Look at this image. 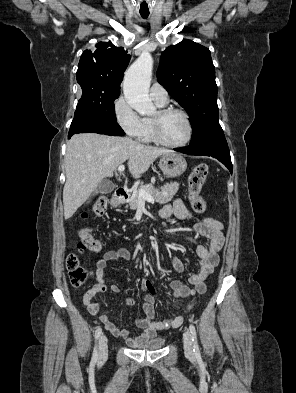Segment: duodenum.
I'll return each mask as SVG.
<instances>
[{
  "label": "duodenum",
  "instance_id": "410a0bca",
  "mask_svg": "<svg viewBox=\"0 0 296 393\" xmlns=\"http://www.w3.org/2000/svg\"><path fill=\"white\" fill-rule=\"evenodd\" d=\"M128 198V192L122 188L119 187L116 189L114 196H113V201L115 204H118L120 202L125 201Z\"/></svg>",
  "mask_w": 296,
  "mask_h": 393
}]
</instances>
